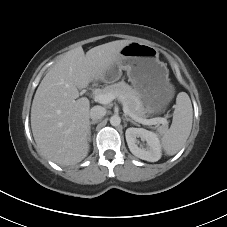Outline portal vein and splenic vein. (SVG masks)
Masks as SVG:
<instances>
[{
    "label": "portal vein and splenic vein",
    "mask_w": 227,
    "mask_h": 227,
    "mask_svg": "<svg viewBox=\"0 0 227 227\" xmlns=\"http://www.w3.org/2000/svg\"><path fill=\"white\" fill-rule=\"evenodd\" d=\"M95 101L100 103V104H109L110 102H112L115 97L112 94H96L94 96ZM123 111L125 114L129 115L130 117H132L134 120H136L137 122L144 124V125H156V124H167L168 121L165 118L162 117H155L152 119H144V118H140L136 115H133L132 113H130L128 107L126 104H123Z\"/></svg>",
    "instance_id": "portal-vein-and-splenic-vein-1"
}]
</instances>
